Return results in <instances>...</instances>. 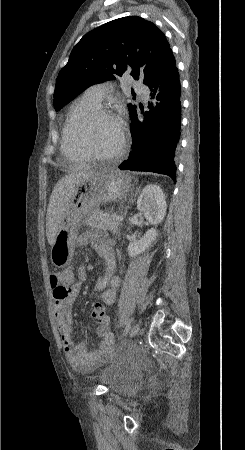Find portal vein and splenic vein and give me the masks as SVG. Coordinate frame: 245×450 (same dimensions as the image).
<instances>
[{"instance_id":"1","label":"portal vein and splenic vein","mask_w":245,"mask_h":450,"mask_svg":"<svg viewBox=\"0 0 245 450\" xmlns=\"http://www.w3.org/2000/svg\"><path fill=\"white\" fill-rule=\"evenodd\" d=\"M111 217H112L114 220L119 221V222L123 220V217L120 216V215H117V214H111Z\"/></svg>"}]
</instances>
